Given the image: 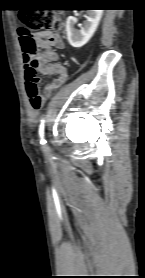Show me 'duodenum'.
<instances>
[{"mask_svg": "<svg viewBox=\"0 0 145 278\" xmlns=\"http://www.w3.org/2000/svg\"><path fill=\"white\" fill-rule=\"evenodd\" d=\"M44 95H45V97H46V98H48V97H50V96H51V92H45V94H44Z\"/></svg>", "mask_w": 145, "mask_h": 278, "instance_id": "410a0bca", "label": "duodenum"}]
</instances>
